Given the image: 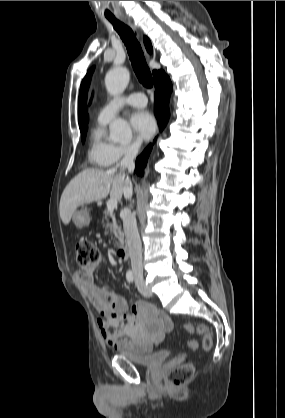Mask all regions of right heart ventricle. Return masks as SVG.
<instances>
[{
    "label": "right heart ventricle",
    "instance_id": "right-heart-ventricle-1",
    "mask_svg": "<svg viewBox=\"0 0 285 418\" xmlns=\"http://www.w3.org/2000/svg\"><path fill=\"white\" fill-rule=\"evenodd\" d=\"M108 121L98 119L89 135L88 160L96 167H107L111 164L116 144L106 135L105 125Z\"/></svg>",
    "mask_w": 285,
    "mask_h": 418
}]
</instances>
